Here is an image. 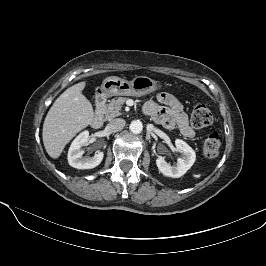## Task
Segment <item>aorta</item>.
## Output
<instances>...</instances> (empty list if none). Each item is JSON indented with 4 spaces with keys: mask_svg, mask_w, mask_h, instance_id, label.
<instances>
[{
    "mask_svg": "<svg viewBox=\"0 0 266 266\" xmlns=\"http://www.w3.org/2000/svg\"><path fill=\"white\" fill-rule=\"evenodd\" d=\"M129 128H130V131H131L132 133H134V134H139V133H141L142 130H143V124H142V122L139 121V120H134V121L131 122Z\"/></svg>",
    "mask_w": 266,
    "mask_h": 266,
    "instance_id": "762f6f07",
    "label": "aorta"
}]
</instances>
